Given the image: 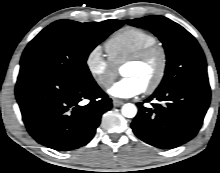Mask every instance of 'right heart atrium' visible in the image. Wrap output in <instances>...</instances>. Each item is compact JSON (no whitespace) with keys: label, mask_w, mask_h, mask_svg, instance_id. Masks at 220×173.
Returning a JSON list of instances; mask_svg holds the SVG:
<instances>
[{"label":"right heart atrium","mask_w":220,"mask_h":173,"mask_svg":"<svg viewBox=\"0 0 220 173\" xmlns=\"http://www.w3.org/2000/svg\"><path fill=\"white\" fill-rule=\"evenodd\" d=\"M85 67L90 77L102 89L108 88L116 77V66L105 57L100 46L93 47L87 53Z\"/></svg>","instance_id":"1"}]
</instances>
